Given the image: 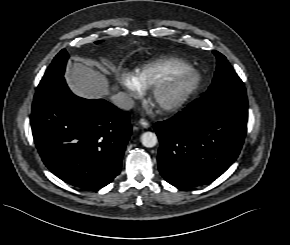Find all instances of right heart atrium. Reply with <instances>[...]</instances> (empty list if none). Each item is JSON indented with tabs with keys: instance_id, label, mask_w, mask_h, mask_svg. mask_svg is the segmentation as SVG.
I'll list each match as a JSON object with an SVG mask.
<instances>
[{
	"instance_id": "1",
	"label": "right heart atrium",
	"mask_w": 290,
	"mask_h": 245,
	"mask_svg": "<svg viewBox=\"0 0 290 245\" xmlns=\"http://www.w3.org/2000/svg\"><path fill=\"white\" fill-rule=\"evenodd\" d=\"M116 82L134 99L138 98L142 93V90L136 84L131 73H128L126 71L118 73L116 76Z\"/></svg>"
}]
</instances>
